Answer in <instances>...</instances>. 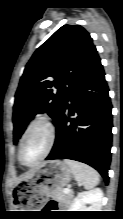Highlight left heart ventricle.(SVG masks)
Instances as JSON below:
<instances>
[{
    "label": "left heart ventricle",
    "instance_id": "obj_1",
    "mask_svg": "<svg viewBox=\"0 0 123 219\" xmlns=\"http://www.w3.org/2000/svg\"><path fill=\"white\" fill-rule=\"evenodd\" d=\"M47 132L42 127L35 128L25 139L22 158L26 163L36 162L44 153L47 144Z\"/></svg>",
    "mask_w": 123,
    "mask_h": 219
}]
</instances>
